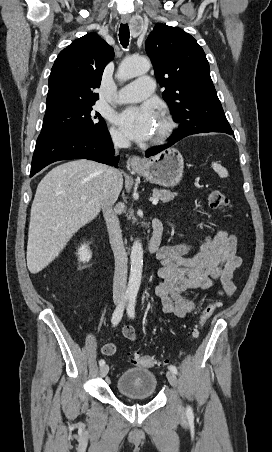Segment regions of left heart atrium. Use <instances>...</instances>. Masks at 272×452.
Here are the masks:
<instances>
[{
  "label": "left heart atrium",
  "mask_w": 272,
  "mask_h": 452,
  "mask_svg": "<svg viewBox=\"0 0 272 452\" xmlns=\"http://www.w3.org/2000/svg\"><path fill=\"white\" fill-rule=\"evenodd\" d=\"M156 115L150 105L128 107L116 117V122L132 140L149 139L154 131Z\"/></svg>",
  "instance_id": "1"
}]
</instances>
